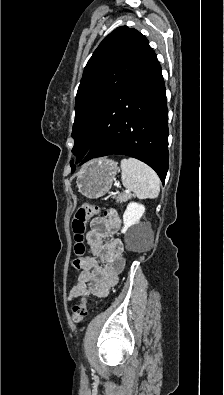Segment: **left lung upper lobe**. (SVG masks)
Segmentation results:
<instances>
[{"label": "left lung upper lobe", "mask_w": 224, "mask_h": 395, "mask_svg": "<svg viewBox=\"0 0 224 395\" xmlns=\"http://www.w3.org/2000/svg\"><path fill=\"white\" fill-rule=\"evenodd\" d=\"M153 53L146 37L127 26L116 28L94 51L76 95L72 152L77 162L90 149L102 113ZM71 167L74 172L72 162Z\"/></svg>", "instance_id": "5c2ea615"}]
</instances>
